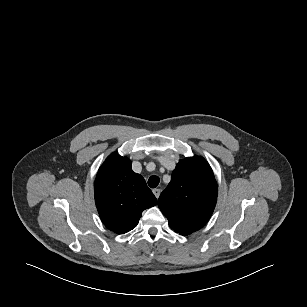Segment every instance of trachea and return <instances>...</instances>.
<instances>
[{"instance_id":"trachea-1","label":"trachea","mask_w":307,"mask_h":307,"mask_svg":"<svg viewBox=\"0 0 307 307\" xmlns=\"http://www.w3.org/2000/svg\"><path fill=\"white\" fill-rule=\"evenodd\" d=\"M160 182V179L158 176H151L149 179H148V185L149 187L151 188H155L158 186Z\"/></svg>"}]
</instances>
